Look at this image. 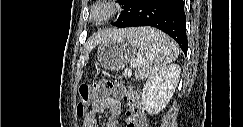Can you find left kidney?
I'll return each mask as SVG.
<instances>
[{
  "mask_svg": "<svg viewBox=\"0 0 243 127\" xmlns=\"http://www.w3.org/2000/svg\"><path fill=\"white\" fill-rule=\"evenodd\" d=\"M180 73V66L172 64L149 77L141 98V104L148 114H158L166 107L178 84Z\"/></svg>",
  "mask_w": 243,
  "mask_h": 127,
  "instance_id": "1",
  "label": "left kidney"
}]
</instances>
